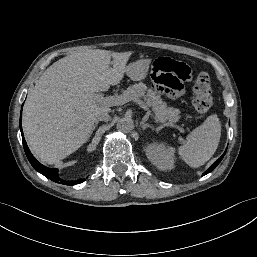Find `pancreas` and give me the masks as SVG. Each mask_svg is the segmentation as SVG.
I'll list each match as a JSON object with an SVG mask.
<instances>
[{"label":"pancreas","mask_w":257,"mask_h":257,"mask_svg":"<svg viewBox=\"0 0 257 257\" xmlns=\"http://www.w3.org/2000/svg\"><path fill=\"white\" fill-rule=\"evenodd\" d=\"M123 94L130 99L143 97L147 105L152 108L155 118L161 122H176L180 117V111L178 109L168 107L156 91L147 88V86L142 82L128 87Z\"/></svg>","instance_id":"pancreas-1"}]
</instances>
